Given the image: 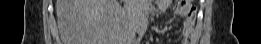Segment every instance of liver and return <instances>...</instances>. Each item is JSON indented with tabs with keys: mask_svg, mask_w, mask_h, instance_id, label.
I'll return each mask as SVG.
<instances>
[{
	"mask_svg": "<svg viewBox=\"0 0 261 44\" xmlns=\"http://www.w3.org/2000/svg\"><path fill=\"white\" fill-rule=\"evenodd\" d=\"M117 0H57L56 14L60 34L67 44H117L132 40L131 30L120 25L132 24L126 19ZM119 35V37L117 36Z\"/></svg>",
	"mask_w": 261,
	"mask_h": 44,
	"instance_id": "liver-1",
	"label": "liver"
}]
</instances>
